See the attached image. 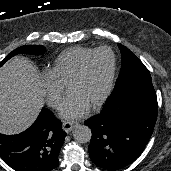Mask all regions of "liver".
Returning <instances> with one entry per match:
<instances>
[{"label":"liver","instance_id":"6515ba94","mask_svg":"<svg viewBox=\"0 0 171 171\" xmlns=\"http://www.w3.org/2000/svg\"><path fill=\"white\" fill-rule=\"evenodd\" d=\"M45 95L41 75L30 60H9L0 69V133L26 130L40 113Z\"/></svg>","mask_w":171,"mask_h":171}]
</instances>
